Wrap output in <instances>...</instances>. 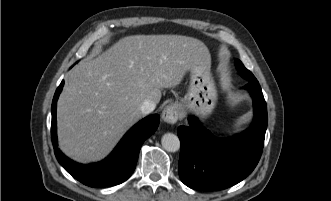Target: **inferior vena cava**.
Listing matches in <instances>:
<instances>
[{
    "label": "inferior vena cava",
    "instance_id": "1",
    "mask_svg": "<svg viewBox=\"0 0 331 201\" xmlns=\"http://www.w3.org/2000/svg\"><path fill=\"white\" fill-rule=\"evenodd\" d=\"M156 104L151 100H145L140 107L142 114L147 115L154 111Z\"/></svg>",
    "mask_w": 331,
    "mask_h": 201
}]
</instances>
